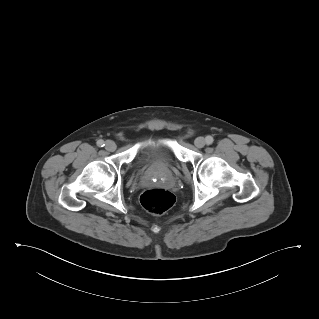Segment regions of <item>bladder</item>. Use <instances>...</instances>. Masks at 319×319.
<instances>
[{
	"instance_id": "obj_1",
	"label": "bladder",
	"mask_w": 319,
	"mask_h": 319,
	"mask_svg": "<svg viewBox=\"0 0 319 319\" xmlns=\"http://www.w3.org/2000/svg\"><path fill=\"white\" fill-rule=\"evenodd\" d=\"M175 161L171 139L163 133L148 135L140 144L134 158L136 168L171 165Z\"/></svg>"
}]
</instances>
